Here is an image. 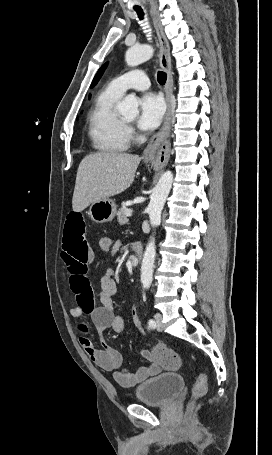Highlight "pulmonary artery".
<instances>
[{
    "mask_svg": "<svg viewBox=\"0 0 272 455\" xmlns=\"http://www.w3.org/2000/svg\"><path fill=\"white\" fill-rule=\"evenodd\" d=\"M150 86L146 73L136 69L114 78L108 88L116 94L123 95L128 89L145 90Z\"/></svg>",
    "mask_w": 272,
    "mask_h": 455,
    "instance_id": "e3ab8cb5",
    "label": "pulmonary artery"
}]
</instances>
